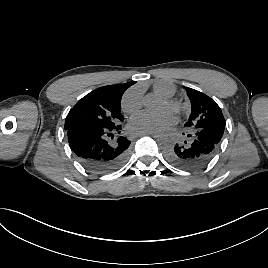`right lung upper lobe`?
Segmentation results:
<instances>
[{
	"mask_svg": "<svg viewBox=\"0 0 268 268\" xmlns=\"http://www.w3.org/2000/svg\"><path fill=\"white\" fill-rule=\"evenodd\" d=\"M136 82H129L125 84H116V85H109V86H103L96 91L105 93L107 95L116 96V97H122L123 93L133 84Z\"/></svg>",
	"mask_w": 268,
	"mask_h": 268,
	"instance_id": "cb5924a9",
	"label": "right lung upper lobe"
}]
</instances>
